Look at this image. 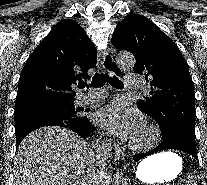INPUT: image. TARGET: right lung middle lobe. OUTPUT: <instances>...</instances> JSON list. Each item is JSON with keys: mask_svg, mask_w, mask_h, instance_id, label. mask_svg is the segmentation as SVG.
<instances>
[{"mask_svg": "<svg viewBox=\"0 0 207 185\" xmlns=\"http://www.w3.org/2000/svg\"><path fill=\"white\" fill-rule=\"evenodd\" d=\"M88 109L75 108L73 103L43 104L14 112L15 132L28 126L53 121L58 124H78L85 120Z\"/></svg>", "mask_w": 207, "mask_h": 185, "instance_id": "obj_1", "label": "right lung middle lobe"}]
</instances>
